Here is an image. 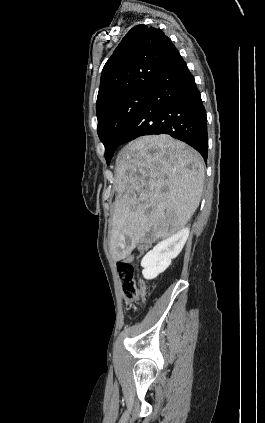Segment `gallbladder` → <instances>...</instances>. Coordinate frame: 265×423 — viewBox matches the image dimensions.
<instances>
[{
  "instance_id": "1",
  "label": "gallbladder",
  "mask_w": 265,
  "mask_h": 423,
  "mask_svg": "<svg viewBox=\"0 0 265 423\" xmlns=\"http://www.w3.org/2000/svg\"><path fill=\"white\" fill-rule=\"evenodd\" d=\"M126 240H127V242H129V238L128 237H126Z\"/></svg>"
}]
</instances>
